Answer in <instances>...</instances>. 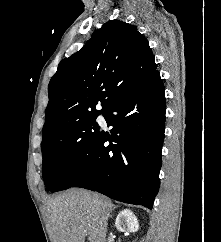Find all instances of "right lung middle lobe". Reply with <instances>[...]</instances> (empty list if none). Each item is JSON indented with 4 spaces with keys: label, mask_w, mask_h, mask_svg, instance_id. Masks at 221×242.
<instances>
[{
    "label": "right lung middle lobe",
    "mask_w": 221,
    "mask_h": 242,
    "mask_svg": "<svg viewBox=\"0 0 221 242\" xmlns=\"http://www.w3.org/2000/svg\"><path fill=\"white\" fill-rule=\"evenodd\" d=\"M99 114L82 116L43 136L42 174L45 186L52 191L72 163L99 134L95 122Z\"/></svg>",
    "instance_id": "dd1d6c3e"
}]
</instances>
